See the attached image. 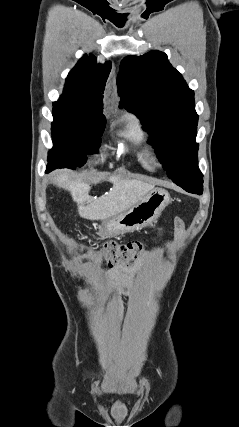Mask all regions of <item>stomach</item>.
Segmentation results:
<instances>
[{
  "instance_id": "1",
  "label": "stomach",
  "mask_w": 239,
  "mask_h": 427,
  "mask_svg": "<svg viewBox=\"0 0 239 427\" xmlns=\"http://www.w3.org/2000/svg\"><path fill=\"white\" fill-rule=\"evenodd\" d=\"M170 202V195L165 189L154 188L137 204L103 222L98 235L104 240L146 227L158 218Z\"/></svg>"
}]
</instances>
